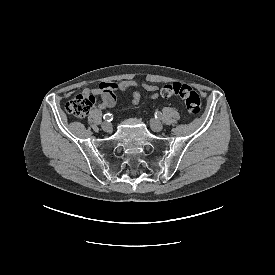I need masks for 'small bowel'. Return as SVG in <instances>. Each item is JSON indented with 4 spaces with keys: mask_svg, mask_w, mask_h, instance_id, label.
<instances>
[{
    "mask_svg": "<svg viewBox=\"0 0 275 275\" xmlns=\"http://www.w3.org/2000/svg\"><path fill=\"white\" fill-rule=\"evenodd\" d=\"M140 89H143L150 94L142 95ZM116 90L132 91V106L139 104L142 97L146 99H155L159 96V88L157 85L150 82L139 83L133 79H124L117 82H102L98 87L84 89L83 93L86 96H99L102 102L97 105V108L102 110L104 108H111L115 105L113 92Z\"/></svg>",
    "mask_w": 275,
    "mask_h": 275,
    "instance_id": "c3829d8e",
    "label": "small bowel"
}]
</instances>
